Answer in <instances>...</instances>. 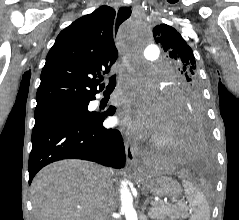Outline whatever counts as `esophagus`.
Wrapping results in <instances>:
<instances>
[{
  "label": "esophagus",
  "instance_id": "34e87169",
  "mask_svg": "<svg viewBox=\"0 0 239 220\" xmlns=\"http://www.w3.org/2000/svg\"><path fill=\"white\" fill-rule=\"evenodd\" d=\"M136 13L135 7H121L118 11L117 19H116V24L113 25L114 29V36L116 37L115 41L117 42L118 36L120 33V28H121V23L124 22L126 19L130 17V15H134ZM125 153H126V158L128 164L131 166H136L137 165V158H136V153L133 147L126 141L125 142Z\"/></svg>",
  "mask_w": 239,
  "mask_h": 220
}]
</instances>
